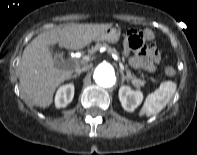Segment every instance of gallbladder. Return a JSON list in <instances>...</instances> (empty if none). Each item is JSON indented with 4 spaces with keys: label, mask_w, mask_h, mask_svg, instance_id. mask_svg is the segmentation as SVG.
Here are the masks:
<instances>
[{
    "label": "gallbladder",
    "mask_w": 197,
    "mask_h": 155,
    "mask_svg": "<svg viewBox=\"0 0 197 155\" xmlns=\"http://www.w3.org/2000/svg\"><path fill=\"white\" fill-rule=\"evenodd\" d=\"M51 51L53 53V57H54V64L56 67H62L64 64V59H63V53L54 50L53 47H51Z\"/></svg>",
    "instance_id": "bac80fb5"
}]
</instances>
